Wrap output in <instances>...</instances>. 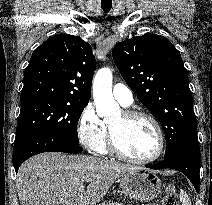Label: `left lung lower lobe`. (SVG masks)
Listing matches in <instances>:
<instances>
[{
  "label": "left lung lower lobe",
  "instance_id": "1",
  "mask_svg": "<svg viewBox=\"0 0 212 205\" xmlns=\"http://www.w3.org/2000/svg\"><path fill=\"white\" fill-rule=\"evenodd\" d=\"M152 169L172 168L185 174L194 185L197 192L200 190V148L197 138L192 139L176 154L165 158L157 164L146 165Z\"/></svg>",
  "mask_w": 212,
  "mask_h": 205
}]
</instances>
